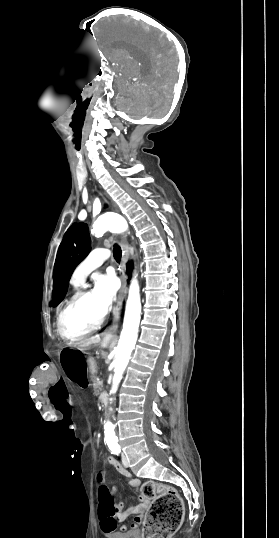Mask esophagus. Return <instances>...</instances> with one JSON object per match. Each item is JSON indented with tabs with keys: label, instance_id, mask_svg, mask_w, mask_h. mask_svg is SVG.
<instances>
[{
	"label": "esophagus",
	"instance_id": "34e87169",
	"mask_svg": "<svg viewBox=\"0 0 279 538\" xmlns=\"http://www.w3.org/2000/svg\"><path fill=\"white\" fill-rule=\"evenodd\" d=\"M121 247H122V260L120 264V280H121V287L118 292L117 296V302L115 307L113 308V321L112 325L106 328L103 332L104 339H113L117 336V329H118V323H119V316H120V310L122 308V303L124 296L126 294V280H125V265L129 258V251H128V243L126 241V236L123 235L121 238Z\"/></svg>",
	"mask_w": 279,
	"mask_h": 538
}]
</instances>
